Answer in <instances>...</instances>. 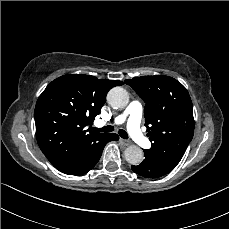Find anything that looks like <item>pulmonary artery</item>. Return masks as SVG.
Instances as JSON below:
<instances>
[{
	"mask_svg": "<svg viewBox=\"0 0 229 229\" xmlns=\"http://www.w3.org/2000/svg\"><path fill=\"white\" fill-rule=\"evenodd\" d=\"M143 118V105L140 101H132L124 109L122 113L115 117V124H126L128 133L133 136V139L139 143L141 147H146L149 144V139L142 134L141 122ZM105 121H98L96 125L98 127L105 126Z\"/></svg>",
	"mask_w": 229,
	"mask_h": 229,
	"instance_id": "obj_1",
	"label": "pulmonary artery"
}]
</instances>
